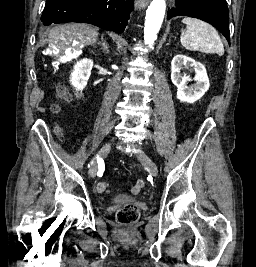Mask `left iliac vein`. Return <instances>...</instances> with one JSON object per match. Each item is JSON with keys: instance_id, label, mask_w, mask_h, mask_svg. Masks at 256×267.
I'll return each instance as SVG.
<instances>
[{"instance_id": "left-iliac-vein-1", "label": "left iliac vein", "mask_w": 256, "mask_h": 267, "mask_svg": "<svg viewBox=\"0 0 256 267\" xmlns=\"http://www.w3.org/2000/svg\"><path fill=\"white\" fill-rule=\"evenodd\" d=\"M137 158L143 166L148 167L152 175L156 176L158 174L157 165L145 153H139Z\"/></svg>"}]
</instances>
